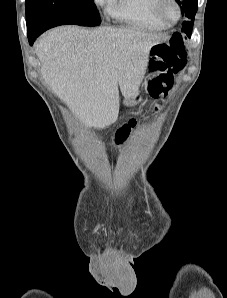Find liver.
I'll return each instance as SVG.
<instances>
[{"mask_svg":"<svg viewBox=\"0 0 227 298\" xmlns=\"http://www.w3.org/2000/svg\"><path fill=\"white\" fill-rule=\"evenodd\" d=\"M170 37L131 28L60 26L35 45L41 73L53 92L86 127L103 128L119 114V89L133 97L150 50Z\"/></svg>","mask_w":227,"mask_h":298,"instance_id":"1","label":"liver"}]
</instances>
